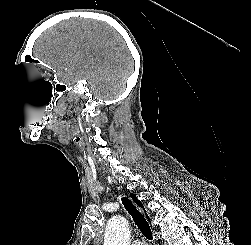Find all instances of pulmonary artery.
I'll return each mask as SVG.
<instances>
[{
    "label": "pulmonary artery",
    "mask_w": 251,
    "mask_h": 245,
    "mask_svg": "<svg viewBox=\"0 0 251 245\" xmlns=\"http://www.w3.org/2000/svg\"><path fill=\"white\" fill-rule=\"evenodd\" d=\"M131 245H147V243L144 241L136 240V241H133Z\"/></svg>",
    "instance_id": "e3ab8cb5"
}]
</instances>
